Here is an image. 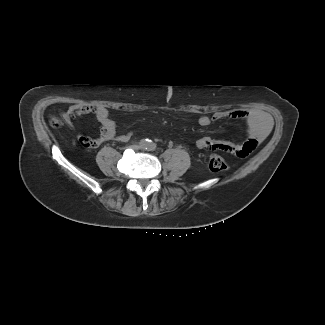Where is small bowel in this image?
I'll list each match as a JSON object with an SVG mask.
<instances>
[{
    "label": "small bowel",
    "instance_id": "obj_1",
    "mask_svg": "<svg viewBox=\"0 0 325 325\" xmlns=\"http://www.w3.org/2000/svg\"><path fill=\"white\" fill-rule=\"evenodd\" d=\"M94 114L99 121L101 128L97 138L79 136V142L86 148H97L107 141L128 142L132 133L117 134L116 124L110 117L109 111L104 106H92L88 104H75L69 107L65 113V118L69 126H73V121L81 116ZM225 118L241 119L246 122L247 136L243 143L234 144L229 141L215 140L211 137H202L197 141V146L205 150H220L233 155L244 157L255 150L272 128V119L269 114L261 110H232L229 112H217L212 116L202 115L198 119L201 126H208L214 121Z\"/></svg>",
    "mask_w": 325,
    "mask_h": 325
}]
</instances>
